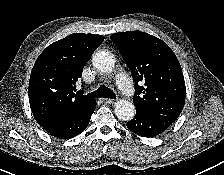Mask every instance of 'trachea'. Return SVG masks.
I'll return each mask as SVG.
<instances>
[{"mask_svg":"<svg viewBox=\"0 0 224 175\" xmlns=\"http://www.w3.org/2000/svg\"><path fill=\"white\" fill-rule=\"evenodd\" d=\"M88 96L93 98H101V97L112 99L116 98L115 93L110 89L106 88L105 86H100L98 90L89 93Z\"/></svg>","mask_w":224,"mask_h":175,"instance_id":"1","label":"trachea"}]
</instances>
